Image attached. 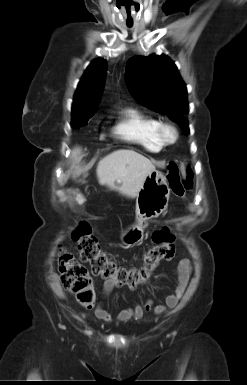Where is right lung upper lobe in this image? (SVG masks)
Returning a JSON list of instances; mask_svg holds the SVG:
<instances>
[{
	"mask_svg": "<svg viewBox=\"0 0 247 385\" xmlns=\"http://www.w3.org/2000/svg\"><path fill=\"white\" fill-rule=\"evenodd\" d=\"M107 62L95 59L82 76L74 96L72 113L96 111L100 102Z\"/></svg>",
	"mask_w": 247,
	"mask_h": 385,
	"instance_id": "obj_1",
	"label": "right lung upper lobe"
}]
</instances>
